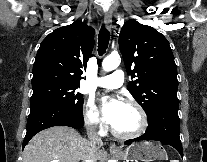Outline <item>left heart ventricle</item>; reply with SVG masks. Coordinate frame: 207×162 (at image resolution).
<instances>
[{"label":"left heart ventricle","mask_w":207,"mask_h":162,"mask_svg":"<svg viewBox=\"0 0 207 162\" xmlns=\"http://www.w3.org/2000/svg\"><path fill=\"white\" fill-rule=\"evenodd\" d=\"M140 122L137 109L132 105L122 103L117 110L112 126L122 133H130L138 129Z\"/></svg>","instance_id":"obj_1"}]
</instances>
